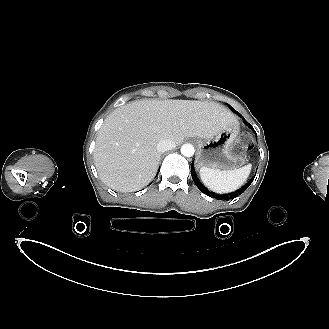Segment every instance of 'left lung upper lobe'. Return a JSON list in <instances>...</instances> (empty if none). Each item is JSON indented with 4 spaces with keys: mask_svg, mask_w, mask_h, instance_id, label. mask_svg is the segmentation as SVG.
<instances>
[{
    "mask_svg": "<svg viewBox=\"0 0 329 329\" xmlns=\"http://www.w3.org/2000/svg\"><path fill=\"white\" fill-rule=\"evenodd\" d=\"M236 114H238L239 116H241L237 111H235L233 108H231Z\"/></svg>",
    "mask_w": 329,
    "mask_h": 329,
    "instance_id": "5c2ea615",
    "label": "left lung upper lobe"
}]
</instances>
